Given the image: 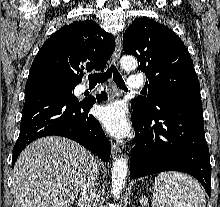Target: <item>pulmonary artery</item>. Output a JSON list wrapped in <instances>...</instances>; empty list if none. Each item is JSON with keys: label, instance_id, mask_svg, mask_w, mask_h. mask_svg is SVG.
Here are the masks:
<instances>
[{"label": "pulmonary artery", "instance_id": "1", "mask_svg": "<svg viewBox=\"0 0 220 207\" xmlns=\"http://www.w3.org/2000/svg\"><path fill=\"white\" fill-rule=\"evenodd\" d=\"M128 88L130 90H139L144 87V80L140 76H131L128 79Z\"/></svg>", "mask_w": 220, "mask_h": 207}]
</instances>
